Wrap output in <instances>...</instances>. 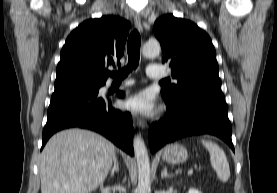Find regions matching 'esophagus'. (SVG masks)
Listing matches in <instances>:
<instances>
[{
	"mask_svg": "<svg viewBox=\"0 0 277 193\" xmlns=\"http://www.w3.org/2000/svg\"><path fill=\"white\" fill-rule=\"evenodd\" d=\"M133 18H134V22H135L137 29L139 30V32H142L143 27H142L141 17L139 15V13L135 12L133 14ZM133 122L136 126L142 127V128L145 127V125H146L145 120L142 117L137 116V115L133 117Z\"/></svg>",
	"mask_w": 277,
	"mask_h": 193,
	"instance_id": "34e87169",
	"label": "esophagus"
}]
</instances>
